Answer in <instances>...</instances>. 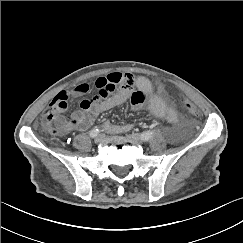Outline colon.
<instances>
[{
	"mask_svg": "<svg viewBox=\"0 0 243 243\" xmlns=\"http://www.w3.org/2000/svg\"><path fill=\"white\" fill-rule=\"evenodd\" d=\"M127 83V82H125ZM67 95L65 92H60L58 95L55 96V98L52 101L51 107L50 109H48L42 119H41V126L43 128V130H45L46 132L52 134V135H56L59 133V129L57 127L53 126V122L56 119L57 116V110L55 108L56 104L59 103H63L66 102L67 103ZM181 105L182 107L187 111V113H189L190 115L193 116H199V110L198 108L191 102L190 97L189 96H182L181 97Z\"/></svg>",
	"mask_w": 243,
	"mask_h": 243,
	"instance_id": "1",
	"label": "colon"
}]
</instances>
